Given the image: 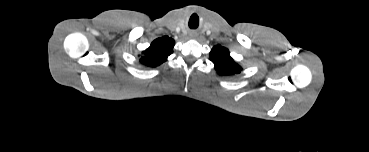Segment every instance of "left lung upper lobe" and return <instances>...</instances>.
I'll return each instance as SVG.
<instances>
[{"label": "left lung upper lobe", "mask_w": 369, "mask_h": 152, "mask_svg": "<svg viewBox=\"0 0 369 152\" xmlns=\"http://www.w3.org/2000/svg\"><path fill=\"white\" fill-rule=\"evenodd\" d=\"M210 60L214 63L215 69L221 75H234L240 73L242 70V68L233 61L228 49L220 45H216L212 48Z\"/></svg>", "instance_id": "5c2ea615"}]
</instances>
